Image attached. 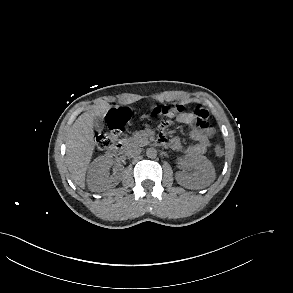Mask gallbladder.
<instances>
[{
  "instance_id": "obj_1",
  "label": "gallbladder",
  "mask_w": 293,
  "mask_h": 293,
  "mask_svg": "<svg viewBox=\"0 0 293 293\" xmlns=\"http://www.w3.org/2000/svg\"><path fill=\"white\" fill-rule=\"evenodd\" d=\"M105 110L99 111L93 118V125L96 130L100 131L104 128Z\"/></svg>"
}]
</instances>
